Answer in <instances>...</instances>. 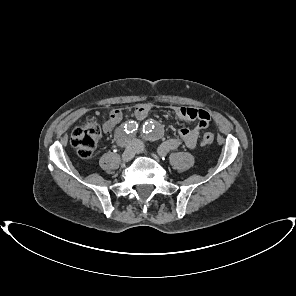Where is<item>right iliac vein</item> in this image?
Returning a JSON list of instances; mask_svg holds the SVG:
<instances>
[{"label":"right iliac vein","instance_id":"1","mask_svg":"<svg viewBox=\"0 0 296 296\" xmlns=\"http://www.w3.org/2000/svg\"><path fill=\"white\" fill-rule=\"evenodd\" d=\"M135 156V146L133 142L128 141L127 147L122 153V160L128 162Z\"/></svg>","mask_w":296,"mask_h":296}]
</instances>
